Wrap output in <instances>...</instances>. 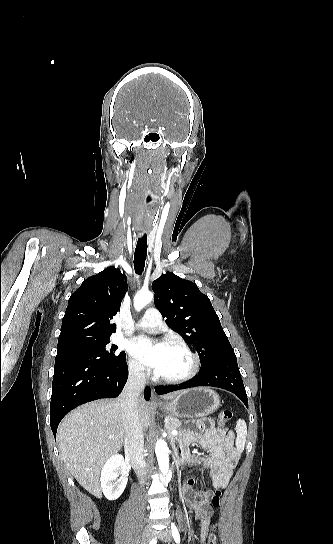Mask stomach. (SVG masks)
I'll return each mask as SVG.
<instances>
[{
  "mask_svg": "<svg viewBox=\"0 0 333 544\" xmlns=\"http://www.w3.org/2000/svg\"><path fill=\"white\" fill-rule=\"evenodd\" d=\"M220 406L219 395L210 388H192L180 392L163 409L174 416L185 418L205 417Z\"/></svg>",
  "mask_w": 333,
  "mask_h": 544,
  "instance_id": "obj_1",
  "label": "stomach"
}]
</instances>
